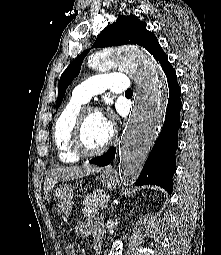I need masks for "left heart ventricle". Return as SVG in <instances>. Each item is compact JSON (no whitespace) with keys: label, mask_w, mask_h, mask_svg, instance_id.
Returning a JSON list of instances; mask_svg holds the SVG:
<instances>
[{"label":"left heart ventricle","mask_w":221,"mask_h":255,"mask_svg":"<svg viewBox=\"0 0 221 255\" xmlns=\"http://www.w3.org/2000/svg\"><path fill=\"white\" fill-rule=\"evenodd\" d=\"M110 135V127L105 123L101 114L91 113L87 116L83 137L88 149L101 147Z\"/></svg>","instance_id":"left-heart-ventricle-1"}]
</instances>
